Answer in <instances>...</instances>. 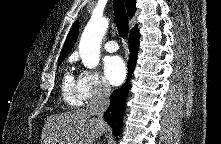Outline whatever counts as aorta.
I'll return each mask as SVG.
<instances>
[{
	"label": "aorta",
	"instance_id": "aorta-1",
	"mask_svg": "<svg viewBox=\"0 0 221 144\" xmlns=\"http://www.w3.org/2000/svg\"><path fill=\"white\" fill-rule=\"evenodd\" d=\"M108 25V19L92 17L82 33L79 53L84 66L89 69H93L99 64L100 45Z\"/></svg>",
	"mask_w": 221,
	"mask_h": 144
}]
</instances>
